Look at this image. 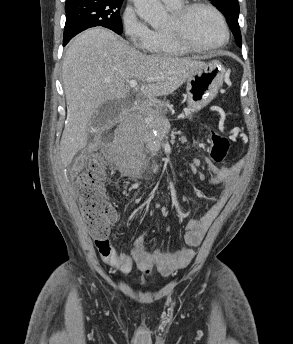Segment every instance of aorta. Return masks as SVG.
<instances>
[{
	"label": "aorta",
	"mask_w": 293,
	"mask_h": 344,
	"mask_svg": "<svg viewBox=\"0 0 293 344\" xmlns=\"http://www.w3.org/2000/svg\"><path fill=\"white\" fill-rule=\"evenodd\" d=\"M139 17L157 28L167 20V12L159 0H133Z\"/></svg>",
	"instance_id": "762f6f07"
}]
</instances>
